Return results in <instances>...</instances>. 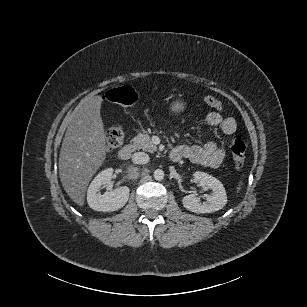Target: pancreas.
Returning <instances> with one entry per match:
<instances>
[{
	"mask_svg": "<svg viewBox=\"0 0 307 307\" xmlns=\"http://www.w3.org/2000/svg\"><path fill=\"white\" fill-rule=\"evenodd\" d=\"M132 142L136 144L138 149H142L145 152L153 153L157 150V147L151 141V137L145 133H138L132 139Z\"/></svg>",
	"mask_w": 307,
	"mask_h": 307,
	"instance_id": "obj_1",
	"label": "pancreas"
}]
</instances>
